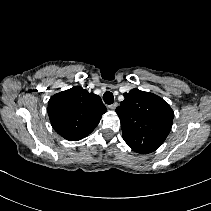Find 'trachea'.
Returning a JSON list of instances; mask_svg holds the SVG:
<instances>
[{"label":"trachea","instance_id":"trachea-1","mask_svg":"<svg viewBox=\"0 0 211 211\" xmlns=\"http://www.w3.org/2000/svg\"><path fill=\"white\" fill-rule=\"evenodd\" d=\"M103 100L106 104L111 105L114 102V96L110 91H106L103 95Z\"/></svg>","mask_w":211,"mask_h":211}]
</instances>
